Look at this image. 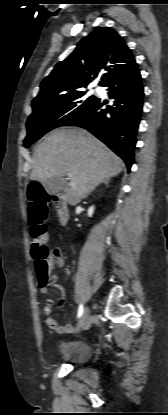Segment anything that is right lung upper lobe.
Segmentation results:
<instances>
[{
	"label": "right lung upper lobe",
	"instance_id": "obj_1",
	"mask_svg": "<svg viewBox=\"0 0 168 415\" xmlns=\"http://www.w3.org/2000/svg\"><path fill=\"white\" fill-rule=\"evenodd\" d=\"M136 64L130 49L113 29L99 27L83 38L75 50L40 84L32 107L84 90L100 73V86Z\"/></svg>",
	"mask_w": 168,
	"mask_h": 415
}]
</instances>
